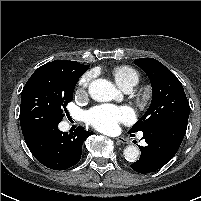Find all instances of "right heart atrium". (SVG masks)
Wrapping results in <instances>:
<instances>
[{
    "instance_id": "obj_1",
    "label": "right heart atrium",
    "mask_w": 201,
    "mask_h": 201,
    "mask_svg": "<svg viewBox=\"0 0 201 201\" xmlns=\"http://www.w3.org/2000/svg\"><path fill=\"white\" fill-rule=\"evenodd\" d=\"M92 78H93L92 72H87L81 77V79L79 81L78 93H85L86 92V89H87Z\"/></svg>"
}]
</instances>
